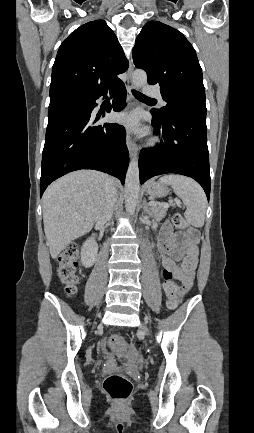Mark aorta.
<instances>
[{"label": "aorta", "instance_id": "aorta-1", "mask_svg": "<svg viewBox=\"0 0 254 433\" xmlns=\"http://www.w3.org/2000/svg\"><path fill=\"white\" fill-rule=\"evenodd\" d=\"M132 82L135 88L139 89L147 83V74L143 70H136L132 75ZM140 189L138 158L135 156L129 163L125 179V208L129 215L136 210Z\"/></svg>", "mask_w": 254, "mask_h": 433}]
</instances>
